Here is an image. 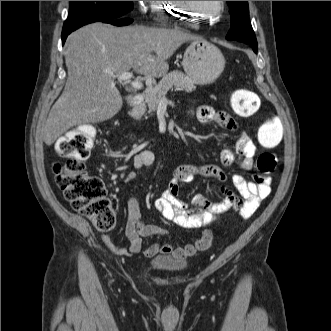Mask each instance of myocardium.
Masks as SVG:
<instances>
[{
  "label": "myocardium",
  "instance_id": "1",
  "mask_svg": "<svg viewBox=\"0 0 331 331\" xmlns=\"http://www.w3.org/2000/svg\"><path fill=\"white\" fill-rule=\"evenodd\" d=\"M184 9L181 14L182 16H186L188 18V22L195 23L197 20H208L210 18L219 16L224 11V1H218V8L216 12L212 15H202L194 10L190 1H177Z\"/></svg>",
  "mask_w": 331,
  "mask_h": 331
}]
</instances>
